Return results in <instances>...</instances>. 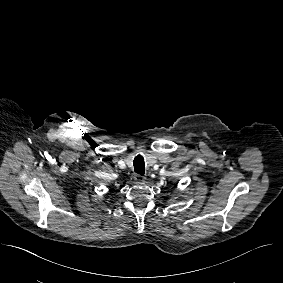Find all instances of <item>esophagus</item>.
Here are the masks:
<instances>
[{"label":"esophagus","instance_id":"esophagus-1","mask_svg":"<svg viewBox=\"0 0 283 283\" xmlns=\"http://www.w3.org/2000/svg\"><path fill=\"white\" fill-rule=\"evenodd\" d=\"M145 180H146V177L143 176V175L136 174V175L134 176V181H135V183H144Z\"/></svg>","mask_w":283,"mask_h":283}]
</instances>
